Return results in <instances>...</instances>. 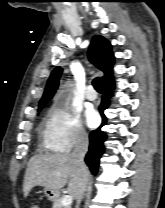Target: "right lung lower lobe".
<instances>
[{"instance_id": "right-lung-lower-lobe-1", "label": "right lung lower lobe", "mask_w": 165, "mask_h": 208, "mask_svg": "<svg viewBox=\"0 0 165 208\" xmlns=\"http://www.w3.org/2000/svg\"><path fill=\"white\" fill-rule=\"evenodd\" d=\"M103 86V96L102 101L99 106V111L102 116V124L101 126L106 124L107 118L104 115V110L108 108L110 104V98L113 95L114 90V80L113 77L102 84ZM101 126L93 130L90 133L89 139H90V145H89V151L85 157V162L89 166L91 172L93 174L97 173L98 167H99V159L104 152V141L107 139V135L105 132L101 131Z\"/></svg>"}]
</instances>
